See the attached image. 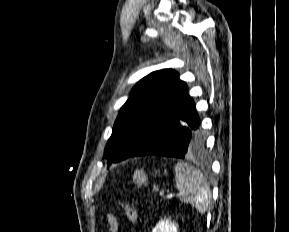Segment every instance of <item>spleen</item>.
<instances>
[{"mask_svg":"<svg viewBox=\"0 0 289 232\" xmlns=\"http://www.w3.org/2000/svg\"><path fill=\"white\" fill-rule=\"evenodd\" d=\"M174 170L180 200L190 203L200 213H205L210 205L211 192L209 183L203 174L184 162L177 163Z\"/></svg>","mask_w":289,"mask_h":232,"instance_id":"3e777b00","label":"spleen"}]
</instances>
